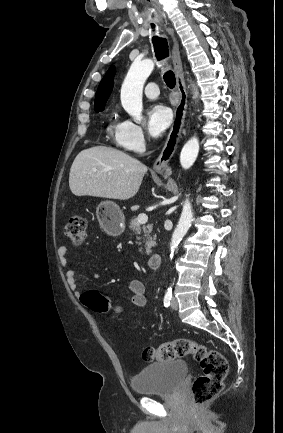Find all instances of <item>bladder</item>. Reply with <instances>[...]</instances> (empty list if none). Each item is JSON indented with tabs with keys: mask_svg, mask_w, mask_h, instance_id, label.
<instances>
[{
	"mask_svg": "<svg viewBox=\"0 0 283 433\" xmlns=\"http://www.w3.org/2000/svg\"><path fill=\"white\" fill-rule=\"evenodd\" d=\"M186 373L187 364L183 361L171 360L150 364L134 376L131 387L135 393L175 392Z\"/></svg>",
	"mask_w": 283,
	"mask_h": 433,
	"instance_id": "1",
	"label": "bladder"
}]
</instances>
